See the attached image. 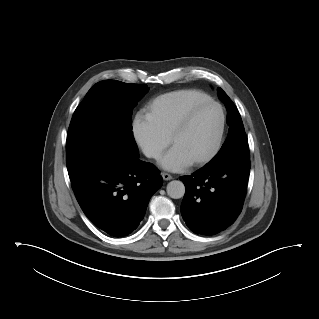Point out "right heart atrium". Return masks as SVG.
I'll return each mask as SVG.
<instances>
[{
  "mask_svg": "<svg viewBox=\"0 0 319 319\" xmlns=\"http://www.w3.org/2000/svg\"><path fill=\"white\" fill-rule=\"evenodd\" d=\"M132 132L136 143L147 157L159 159L162 156L168 145V139L144 112L135 115Z\"/></svg>",
  "mask_w": 319,
  "mask_h": 319,
  "instance_id": "obj_1",
  "label": "right heart atrium"
}]
</instances>
